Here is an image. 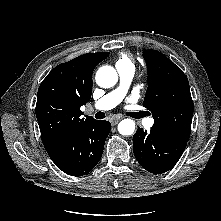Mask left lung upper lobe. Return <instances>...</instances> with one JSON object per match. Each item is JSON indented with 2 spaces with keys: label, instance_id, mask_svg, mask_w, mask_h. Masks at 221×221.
Masks as SVG:
<instances>
[{
  "label": "left lung upper lobe",
  "instance_id": "1",
  "mask_svg": "<svg viewBox=\"0 0 221 221\" xmlns=\"http://www.w3.org/2000/svg\"><path fill=\"white\" fill-rule=\"evenodd\" d=\"M148 88L143 106L153 115L152 129L178 142L187 143L193 116L189 82L183 71L156 50L143 51Z\"/></svg>",
  "mask_w": 221,
  "mask_h": 221
}]
</instances>
